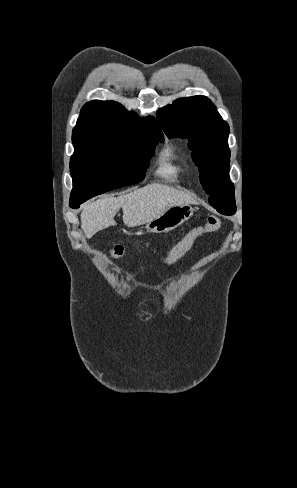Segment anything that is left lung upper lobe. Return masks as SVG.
<instances>
[{
  "mask_svg": "<svg viewBox=\"0 0 297 488\" xmlns=\"http://www.w3.org/2000/svg\"><path fill=\"white\" fill-rule=\"evenodd\" d=\"M168 137L188 138L192 158L209 203L222 214L236 212L234 186L229 179V126L205 96L178 99L157 112Z\"/></svg>",
  "mask_w": 297,
  "mask_h": 488,
  "instance_id": "left-lung-upper-lobe-1",
  "label": "left lung upper lobe"
}]
</instances>
